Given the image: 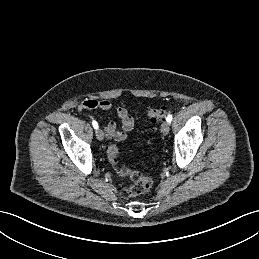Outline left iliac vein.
I'll return each instance as SVG.
<instances>
[{
  "mask_svg": "<svg viewBox=\"0 0 259 259\" xmlns=\"http://www.w3.org/2000/svg\"><path fill=\"white\" fill-rule=\"evenodd\" d=\"M169 130H170V124L167 122V121H164L162 124H161V132L164 134V135H167L169 133Z\"/></svg>",
  "mask_w": 259,
  "mask_h": 259,
  "instance_id": "4c4485c4",
  "label": "left iliac vein"
}]
</instances>
